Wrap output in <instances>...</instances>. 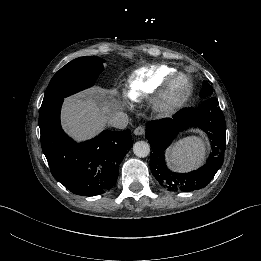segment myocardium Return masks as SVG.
<instances>
[{"label": "myocardium", "instance_id": "1", "mask_svg": "<svg viewBox=\"0 0 261 261\" xmlns=\"http://www.w3.org/2000/svg\"><path fill=\"white\" fill-rule=\"evenodd\" d=\"M179 84L184 85V91L179 92ZM193 93V84L189 76L175 73L165 84L163 91L155 102V109L161 114H172L180 110Z\"/></svg>", "mask_w": 261, "mask_h": 261}]
</instances>
